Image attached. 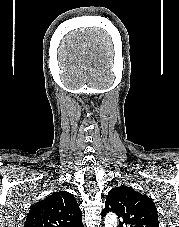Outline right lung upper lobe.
<instances>
[{
	"label": "right lung upper lobe",
	"instance_id": "right-lung-upper-lobe-1",
	"mask_svg": "<svg viewBox=\"0 0 179 227\" xmlns=\"http://www.w3.org/2000/svg\"><path fill=\"white\" fill-rule=\"evenodd\" d=\"M24 227H83L82 211L71 193L55 192L31 208Z\"/></svg>",
	"mask_w": 179,
	"mask_h": 227
}]
</instances>
